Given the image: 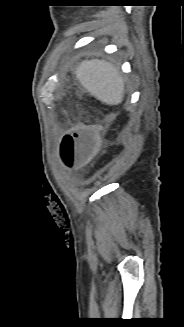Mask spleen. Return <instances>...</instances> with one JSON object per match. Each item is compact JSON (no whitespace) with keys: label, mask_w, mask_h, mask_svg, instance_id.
Wrapping results in <instances>:
<instances>
[{"label":"spleen","mask_w":184,"mask_h":327,"mask_svg":"<svg viewBox=\"0 0 184 327\" xmlns=\"http://www.w3.org/2000/svg\"><path fill=\"white\" fill-rule=\"evenodd\" d=\"M81 85L95 98L108 105L122 102L125 87L119 70L100 60H85L75 71Z\"/></svg>","instance_id":"1"}]
</instances>
